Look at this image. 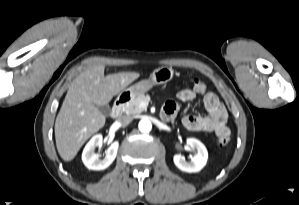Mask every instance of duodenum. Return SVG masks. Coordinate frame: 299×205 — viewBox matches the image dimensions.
I'll use <instances>...</instances> for the list:
<instances>
[{"label": "duodenum", "instance_id": "obj_1", "mask_svg": "<svg viewBox=\"0 0 299 205\" xmlns=\"http://www.w3.org/2000/svg\"><path fill=\"white\" fill-rule=\"evenodd\" d=\"M128 100H129V97L122 96L115 101V103L113 104L112 110H111V116L113 118L118 117L122 113V110ZM162 118L164 120H169V116L167 114H162Z\"/></svg>", "mask_w": 299, "mask_h": 205}]
</instances>
